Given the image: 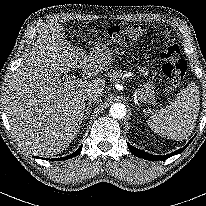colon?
<instances>
[{
	"label": "colon",
	"instance_id": "5ec220e1",
	"mask_svg": "<svg viewBox=\"0 0 206 206\" xmlns=\"http://www.w3.org/2000/svg\"><path fill=\"white\" fill-rule=\"evenodd\" d=\"M109 37L118 43H127L133 38L138 37L153 38L160 48L159 57L162 61L163 73L173 84L182 82L187 65L168 29L159 26L145 27L140 24H132L123 28H111L109 30Z\"/></svg>",
	"mask_w": 206,
	"mask_h": 206
}]
</instances>
